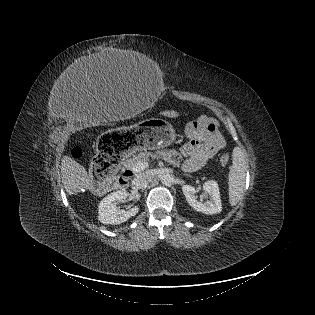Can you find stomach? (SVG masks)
<instances>
[{
	"label": "stomach",
	"mask_w": 315,
	"mask_h": 315,
	"mask_svg": "<svg viewBox=\"0 0 315 315\" xmlns=\"http://www.w3.org/2000/svg\"><path fill=\"white\" fill-rule=\"evenodd\" d=\"M171 123L160 118H150L133 125L127 131L116 130L108 138L110 149L116 153L127 151V156L137 151L154 150L171 145L176 139ZM130 147V148H129Z\"/></svg>",
	"instance_id": "1"
}]
</instances>
